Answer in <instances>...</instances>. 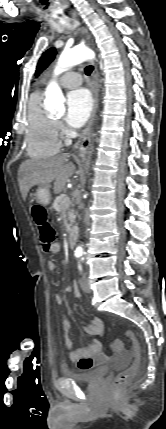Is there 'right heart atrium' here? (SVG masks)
Returning <instances> with one entry per match:
<instances>
[{
	"instance_id": "obj_1",
	"label": "right heart atrium",
	"mask_w": 166,
	"mask_h": 429,
	"mask_svg": "<svg viewBox=\"0 0 166 429\" xmlns=\"http://www.w3.org/2000/svg\"><path fill=\"white\" fill-rule=\"evenodd\" d=\"M55 124H56V128H57V129H61V128H62V125H61V123H60V122H58V121H57Z\"/></svg>"
}]
</instances>
